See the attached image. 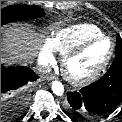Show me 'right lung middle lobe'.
<instances>
[{
	"label": "right lung middle lobe",
	"mask_w": 122,
	"mask_h": 122,
	"mask_svg": "<svg viewBox=\"0 0 122 122\" xmlns=\"http://www.w3.org/2000/svg\"><path fill=\"white\" fill-rule=\"evenodd\" d=\"M45 15L43 9L31 5H11L1 10V25L24 21L28 19H36Z\"/></svg>",
	"instance_id": "dd1d6c3e"
}]
</instances>
